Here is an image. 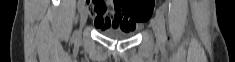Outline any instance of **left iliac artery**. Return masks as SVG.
<instances>
[{
	"instance_id": "1",
	"label": "left iliac artery",
	"mask_w": 235,
	"mask_h": 62,
	"mask_svg": "<svg viewBox=\"0 0 235 62\" xmlns=\"http://www.w3.org/2000/svg\"><path fill=\"white\" fill-rule=\"evenodd\" d=\"M156 18L160 26L163 42H165L166 41L165 19H164V14L160 8H158L156 11Z\"/></svg>"
}]
</instances>
